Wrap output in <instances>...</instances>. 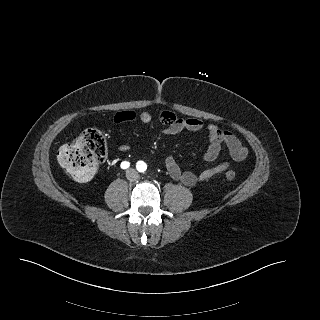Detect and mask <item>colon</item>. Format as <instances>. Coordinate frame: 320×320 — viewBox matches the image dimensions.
I'll return each instance as SVG.
<instances>
[{
	"instance_id": "colon-1",
	"label": "colon",
	"mask_w": 320,
	"mask_h": 320,
	"mask_svg": "<svg viewBox=\"0 0 320 320\" xmlns=\"http://www.w3.org/2000/svg\"><path fill=\"white\" fill-rule=\"evenodd\" d=\"M106 154L107 143L102 131L89 127L72 143L62 146L57 157L71 178L85 183L93 178L97 166L105 159ZM224 176L228 180H234L236 173L226 170Z\"/></svg>"
}]
</instances>
